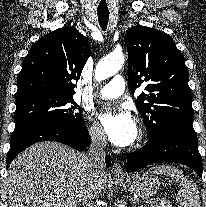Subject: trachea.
<instances>
[{
  "mask_svg": "<svg viewBox=\"0 0 206 207\" xmlns=\"http://www.w3.org/2000/svg\"><path fill=\"white\" fill-rule=\"evenodd\" d=\"M100 27L105 31L109 20V11H97Z\"/></svg>",
  "mask_w": 206,
  "mask_h": 207,
  "instance_id": "obj_1",
  "label": "trachea"
}]
</instances>
